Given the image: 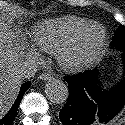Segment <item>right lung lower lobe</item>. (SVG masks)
Masks as SVG:
<instances>
[{"label":"right lung lower lobe","mask_w":125,"mask_h":125,"mask_svg":"<svg viewBox=\"0 0 125 125\" xmlns=\"http://www.w3.org/2000/svg\"><path fill=\"white\" fill-rule=\"evenodd\" d=\"M29 86H30L29 81L25 82L21 85L17 99L15 100L14 104L12 105V107L10 108L8 113L2 119H0V125H11L12 124V122L14 121V119L16 117L17 110H18V107L22 100V97H23L24 93L26 92V90L29 88Z\"/></svg>","instance_id":"right-lung-lower-lobe-1"}]
</instances>
